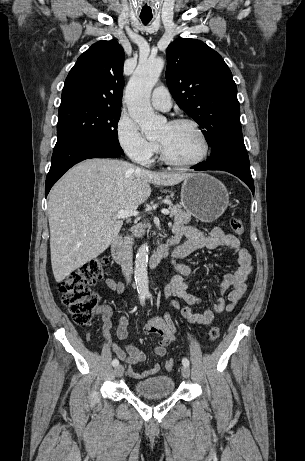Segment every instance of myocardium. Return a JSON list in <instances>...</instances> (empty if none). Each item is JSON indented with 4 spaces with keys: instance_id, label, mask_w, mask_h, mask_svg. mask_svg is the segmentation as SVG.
<instances>
[{
    "instance_id": "f54148a6",
    "label": "myocardium",
    "mask_w": 305,
    "mask_h": 461,
    "mask_svg": "<svg viewBox=\"0 0 305 461\" xmlns=\"http://www.w3.org/2000/svg\"><path fill=\"white\" fill-rule=\"evenodd\" d=\"M169 124L173 126L188 125L192 127L196 131L198 136L200 137V140L202 143V152L196 159L192 161H178L170 157L166 149L164 148L163 144L158 142V148H159V152H160V156L162 160L171 166L180 167V168H191V167H195L201 164L207 158L209 154L210 146H209L208 138L205 132L203 131V129L200 127V125L194 120L187 119V118L174 119V120H171Z\"/></svg>"
}]
</instances>
